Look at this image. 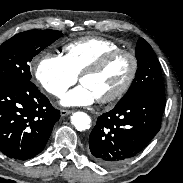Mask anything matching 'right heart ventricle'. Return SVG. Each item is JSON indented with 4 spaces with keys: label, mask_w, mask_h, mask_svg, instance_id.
I'll list each match as a JSON object with an SVG mask.
<instances>
[{
    "label": "right heart ventricle",
    "mask_w": 183,
    "mask_h": 183,
    "mask_svg": "<svg viewBox=\"0 0 183 183\" xmlns=\"http://www.w3.org/2000/svg\"><path fill=\"white\" fill-rule=\"evenodd\" d=\"M120 49L119 45L103 37H85L64 46V59L73 71L79 76L87 67L107 53Z\"/></svg>",
    "instance_id": "right-heart-ventricle-1"
}]
</instances>
